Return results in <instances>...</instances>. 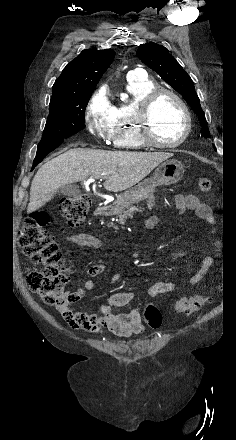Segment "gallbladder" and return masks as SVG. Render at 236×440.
I'll use <instances>...</instances> for the list:
<instances>
[{
	"label": "gallbladder",
	"mask_w": 236,
	"mask_h": 440,
	"mask_svg": "<svg viewBox=\"0 0 236 440\" xmlns=\"http://www.w3.org/2000/svg\"><path fill=\"white\" fill-rule=\"evenodd\" d=\"M59 194L67 195V196H77L80 194V189L78 186L74 184H66L59 188Z\"/></svg>",
	"instance_id": "obj_1"
}]
</instances>
